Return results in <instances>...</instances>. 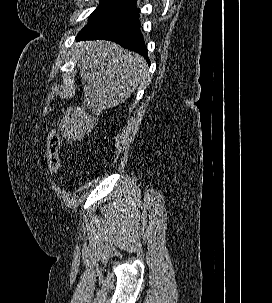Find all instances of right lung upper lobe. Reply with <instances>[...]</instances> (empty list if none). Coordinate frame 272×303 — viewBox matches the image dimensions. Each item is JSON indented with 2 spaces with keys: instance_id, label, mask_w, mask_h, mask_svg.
Segmentation results:
<instances>
[{
  "instance_id": "1",
  "label": "right lung upper lobe",
  "mask_w": 272,
  "mask_h": 303,
  "mask_svg": "<svg viewBox=\"0 0 272 303\" xmlns=\"http://www.w3.org/2000/svg\"><path fill=\"white\" fill-rule=\"evenodd\" d=\"M110 1L126 2L129 4H133V5H135V3H136V0H110Z\"/></svg>"
}]
</instances>
